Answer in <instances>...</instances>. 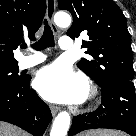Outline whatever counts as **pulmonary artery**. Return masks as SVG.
<instances>
[{"instance_id":"obj_1","label":"pulmonary artery","mask_w":136,"mask_h":136,"mask_svg":"<svg viewBox=\"0 0 136 136\" xmlns=\"http://www.w3.org/2000/svg\"><path fill=\"white\" fill-rule=\"evenodd\" d=\"M59 44L61 49L63 50H70L73 48V40L67 36L60 38ZM45 59L46 56L44 54L34 52L32 55L21 58V60L19 61V66L21 68H29L43 62Z\"/></svg>"}]
</instances>
